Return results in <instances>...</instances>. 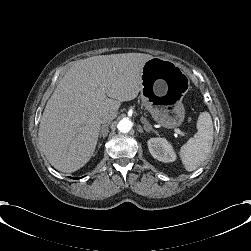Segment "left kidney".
Segmentation results:
<instances>
[{
    "instance_id": "left-kidney-1",
    "label": "left kidney",
    "mask_w": 251,
    "mask_h": 251,
    "mask_svg": "<svg viewBox=\"0 0 251 251\" xmlns=\"http://www.w3.org/2000/svg\"><path fill=\"white\" fill-rule=\"evenodd\" d=\"M147 145L149 152L155 159L165 163L176 160V153L165 138H150Z\"/></svg>"
}]
</instances>
